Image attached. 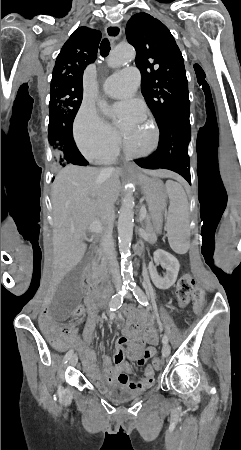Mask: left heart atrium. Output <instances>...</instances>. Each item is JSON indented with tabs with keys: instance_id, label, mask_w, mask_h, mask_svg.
<instances>
[{
	"instance_id": "left-heart-atrium-1",
	"label": "left heart atrium",
	"mask_w": 241,
	"mask_h": 450,
	"mask_svg": "<svg viewBox=\"0 0 241 450\" xmlns=\"http://www.w3.org/2000/svg\"><path fill=\"white\" fill-rule=\"evenodd\" d=\"M128 105H130V104H120V105L117 106V108H118L119 110H124V109H126V107H127Z\"/></svg>"
}]
</instances>
